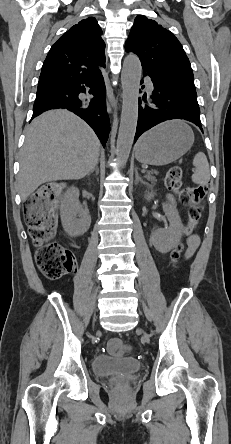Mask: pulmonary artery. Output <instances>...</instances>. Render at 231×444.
<instances>
[{"mask_svg":"<svg viewBox=\"0 0 231 444\" xmlns=\"http://www.w3.org/2000/svg\"><path fill=\"white\" fill-rule=\"evenodd\" d=\"M145 82H146V84L148 86V89L152 90L153 86H152V83H151L150 79L149 78H145Z\"/></svg>","mask_w":231,"mask_h":444,"instance_id":"e3ab8cb5","label":"pulmonary artery"}]
</instances>
